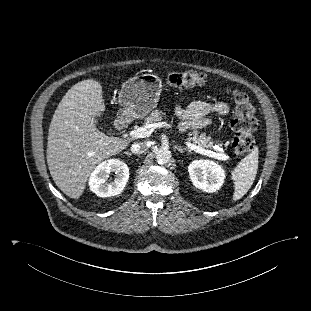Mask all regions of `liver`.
<instances>
[{
  "label": "liver",
  "mask_w": 311,
  "mask_h": 311,
  "mask_svg": "<svg viewBox=\"0 0 311 311\" xmlns=\"http://www.w3.org/2000/svg\"><path fill=\"white\" fill-rule=\"evenodd\" d=\"M105 111L102 85L93 79L73 85L60 101L48 131L47 164L57 187L78 199L91 171L117 155L130 139L109 137L96 127Z\"/></svg>",
  "instance_id": "obj_1"
}]
</instances>
